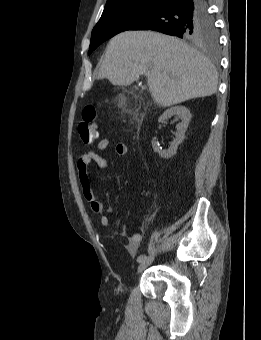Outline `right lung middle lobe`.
I'll list each match as a JSON object with an SVG mask.
<instances>
[{
    "instance_id": "dd1d6c3e",
    "label": "right lung middle lobe",
    "mask_w": 261,
    "mask_h": 340,
    "mask_svg": "<svg viewBox=\"0 0 261 340\" xmlns=\"http://www.w3.org/2000/svg\"><path fill=\"white\" fill-rule=\"evenodd\" d=\"M160 2L161 0H142L104 10L102 17L93 28L89 54L107 39L129 30L156 9ZM182 38L195 43L215 46L218 41V35L210 14L207 13L192 21L185 28Z\"/></svg>"
}]
</instances>
